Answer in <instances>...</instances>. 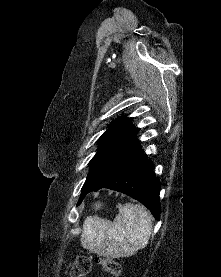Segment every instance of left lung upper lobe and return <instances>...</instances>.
I'll use <instances>...</instances> for the list:
<instances>
[{
  "label": "left lung upper lobe",
  "mask_w": 221,
  "mask_h": 277,
  "mask_svg": "<svg viewBox=\"0 0 221 277\" xmlns=\"http://www.w3.org/2000/svg\"><path fill=\"white\" fill-rule=\"evenodd\" d=\"M131 120L121 117L99 138V148L89 163L90 172L82 191L115 174L141 151L140 141L136 138L138 128L132 126Z\"/></svg>",
  "instance_id": "5c2ea615"
}]
</instances>
